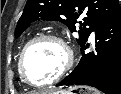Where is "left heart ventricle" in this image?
I'll list each match as a JSON object with an SVG mask.
<instances>
[{"label": "left heart ventricle", "instance_id": "b2bd125f", "mask_svg": "<svg viewBox=\"0 0 121 94\" xmlns=\"http://www.w3.org/2000/svg\"><path fill=\"white\" fill-rule=\"evenodd\" d=\"M64 54L53 41H41L34 45L25 59V71L32 82L44 83L51 80L61 69Z\"/></svg>", "mask_w": 121, "mask_h": 94}]
</instances>
